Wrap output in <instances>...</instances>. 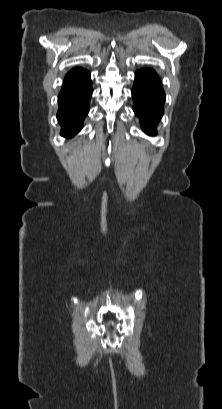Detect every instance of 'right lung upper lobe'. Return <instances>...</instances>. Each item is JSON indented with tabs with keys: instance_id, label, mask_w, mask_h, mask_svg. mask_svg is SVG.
I'll use <instances>...</instances> for the list:
<instances>
[{
	"instance_id": "1",
	"label": "right lung upper lobe",
	"mask_w": 222,
	"mask_h": 409,
	"mask_svg": "<svg viewBox=\"0 0 222 409\" xmlns=\"http://www.w3.org/2000/svg\"><path fill=\"white\" fill-rule=\"evenodd\" d=\"M86 70L82 69V68H75L72 69L69 73H81V72H85ZM65 86V84L63 85V87Z\"/></svg>"
}]
</instances>
